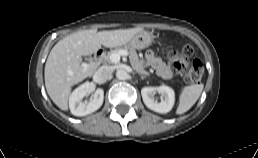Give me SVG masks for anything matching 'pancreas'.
<instances>
[{
  "instance_id": "1",
  "label": "pancreas",
  "mask_w": 258,
  "mask_h": 158,
  "mask_svg": "<svg viewBox=\"0 0 258 158\" xmlns=\"http://www.w3.org/2000/svg\"><path fill=\"white\" fill-rule=\"evenodd\" d=\"M120 50H125L128 52L129 55V59H130V63L133 67V69L135 71H137L139 74H143V75H148L149 73L144 69L142 63L139 60L138 54L136 52V50L132 47H128V46H122V47H118L115 48L114 50H112L111 52H109L106 56H105V60L108 63H112L110 60V55L116 52H119Z\"/></svg>"
}]
</instances>
